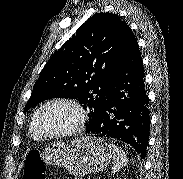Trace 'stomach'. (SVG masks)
Segmentation results:
<instances>
[{
	"label": "stomach",
	"mask_w": 183,
	"mask_h": 179,
	"mask_svg": "<svg viewBox=\"0 0 183 179\" xmlns=\"http://www.w3.org/2000/svg\"><path fill=\"white\" fill-rule=\"evenodd\" d=\"M41 158L48 165L63 166L72 175L81 177L107 168L112 153L103 138L85 136L72 140L69 145L53 142L45 148Z\"/></svg>",
	"instance_id": "1"
}]
</instances>
